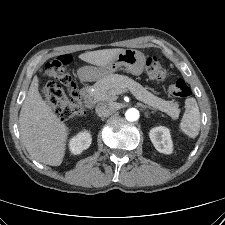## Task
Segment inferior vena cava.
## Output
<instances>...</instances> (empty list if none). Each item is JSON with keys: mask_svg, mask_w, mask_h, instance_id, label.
<instances>
[{"mask_svg": "<svg viewBox=\"0 0 225 225\" xmlns=\"http://www.w3.org/2000/svg\"><path fill=\"white\" fill-rule=\"evenodd\" d=\"M95 111L100 117H108L113 111V105L109 102H99L96 105Z\"/></svg>", "mask_w": 225, "mask_h": 225, "instance_id": "1", "label": "inferior vena cava"}]
</instances>
